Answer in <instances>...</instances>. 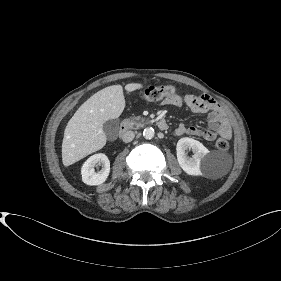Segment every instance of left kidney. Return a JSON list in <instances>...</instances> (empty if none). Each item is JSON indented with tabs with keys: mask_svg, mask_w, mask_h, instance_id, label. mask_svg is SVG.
Masks as SVG:
<instances>
[{
	"mask_svg": "<svg viewBox=\"0 0 281 281\" xmlns=\"http://www.w3.org/2000/svg\"><path fill=\"white\" fill-rule=\"evenodd\" d=\"M188 148L192 149L194 153L191 158L185 153ZM176 151L178 163L183 171L192 176L202 174L201 165L209 153V150L202 143L192 138L184 137L178 141Z\"/></svg>",
	"mask_w": 281,
	"mask_h": 281,
	"instance_id": "left-kidney-1",
	"label": "left kidney"
}]
</instances>
